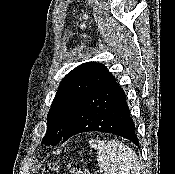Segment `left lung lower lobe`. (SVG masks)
<instances>
[{"instance_id": "0a47b994", "label": "left lung lower lobe", "mask_w": 175, "mask_h": 174, "mask_svg": "<svg viewBox=\"0 0 175 174\" xmlns=\"http://www.w3.org/2000/svg\"><path fill=\"white\" fill-rule=\"evenodd\" d=\"M100 131L122 136L139 147L135 124L123 89L111 75L88 92L77 104L62 141L82 132Z\"/></svg>"}]
</instances>
